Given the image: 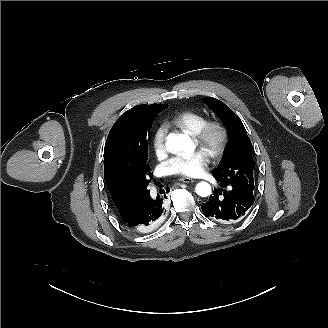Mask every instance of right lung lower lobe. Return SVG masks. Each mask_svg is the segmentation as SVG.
<instances>
[{
  "label": "right lung lower lobe",
  "mask_w": 328,
  "mask_h": 328,
  "mask_svg": "<svg viewBox=\"0 0 328 328\" xmlns=\"http://www.w3.org/2000/svg\"><path fill=\"white\" fill-rule=\"evenodd\" d=\"M170 191L167 189L166 192ZM165 196L157 195L152 198L150 193L143 198L141 205L137 209L133 218L124 222V225L131 230H136L141 233H147L155 228L162 220L166 212Z\"/></svg>",
  "instance_id": "1"
}]
</instances>
